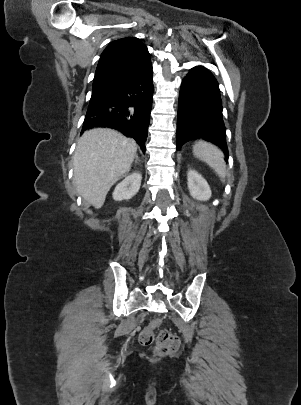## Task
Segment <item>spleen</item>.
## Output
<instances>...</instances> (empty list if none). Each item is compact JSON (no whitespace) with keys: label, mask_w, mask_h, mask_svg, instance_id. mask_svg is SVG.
Wrapping results in <instances>:
<instances>
[{"label":"spleen","mask_w":301,"mask_h":405,"mask_svg":"<svg viewBox=\"0 0 301 405\" xmlns=\"http://www.w3.org/2000/svg\"><path fill=\"white\" fill-rule=\"evenodd\" d=\"M193 154L213 168L222 180L225 179L226 164L222 152L217 147L206 142H197L193 146Z\"/></svg>","instance_id":"spleen-1"}]
</instances>
